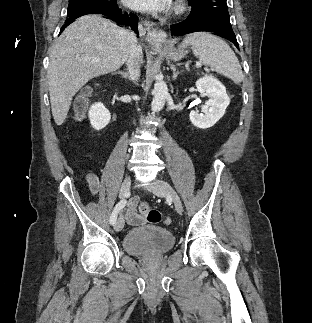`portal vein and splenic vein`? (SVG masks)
Wrapping results in <instances>:
<instances>
[{
    "label": "portal vein and splenic vein",
    "instance_id": "portal-vein-and-splenic-vein-1",
    "mask_svg": "<svg viewBox=\"0 0 312 323\" xmlns=\"http://www.w3.org/2000/svg\"><path fill=\"white\" fill-rule=\"evenodd\" d=\"M94 62H97V60H94ZM196 66H199V68H201L202 66L201 62H196Z\"/></svg>",
    "mask_w": 312,
    "mask_h": 323
}]
</instances>
